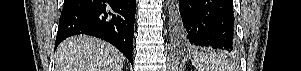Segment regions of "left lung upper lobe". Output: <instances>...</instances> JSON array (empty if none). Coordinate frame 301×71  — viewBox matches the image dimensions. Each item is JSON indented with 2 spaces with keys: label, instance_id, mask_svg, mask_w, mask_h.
I'll return each mask as SVG.
<instances>
[{
  "label": "left lung upper lobe",
  "instance_id": "obj_1",
  "mask_svg": "<svg viewBox=\"0 0 301 71\" xmlns=\"http://www.w3.org/2000/svg\"><path fill=\"white\" fill-rule=\"evenodd\" d=\"M171 26H172V23H171ZM171 33H172L173 39L175 40V34H174V32H173V28H172V27H171Z\"/></svg>",
  "mask_w": 301,
  "mask_h": 71
}]
</instances>
